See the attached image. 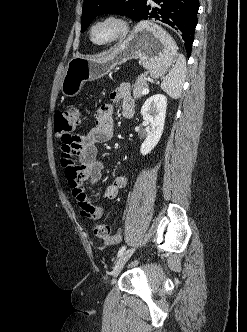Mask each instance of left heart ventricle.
I'll return each mask as SVG.
<instances>
[{"label":"left heart ventricle","instance_id":"obj_1","mask_svg":"<svg viewBox=\"0 0 247 332\" xmlns=\"http://www.w3.org/2000/svg\"><path fill=\"white\" fill-rule=\"evenodd\" d=\"M118 28L113 23H103L98 25L93 32V38L97 42H103L116 35Z\"/></svg>","mask_w":247,"mask_h":332}]
</instances>
